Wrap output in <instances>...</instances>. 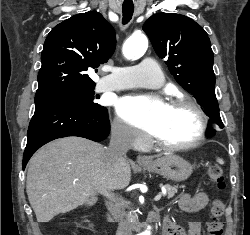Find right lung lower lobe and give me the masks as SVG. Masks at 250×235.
I'll list each match as a JSON object with an SVG mask.
<instances>
[{"label":"right lung lower lobe","instance_id":"98d812e1","mask_svg":"<svg viewBox=\"0 0 250 235\" xmlns=\"http://www.w3.org/2000/svg\"><path fill=\"white\" fill-rule=\"evenodd\" d=\"M110 131L107 109H91L66 102L40 101L28 128L23 169L44 144L62 137L79 136L93 141L105 139Z\"/></svg>","mask_w":250,"mask_h":235}]
</instances>
